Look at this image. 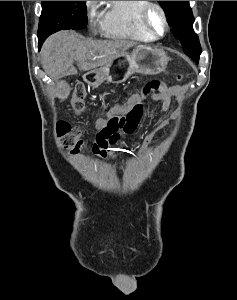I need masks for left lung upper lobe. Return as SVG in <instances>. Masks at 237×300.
Returning a JSON list of instances; mask_svg holds the SVG:
<instances>
[{"instance_id": "1", "label": "left lung upper lobe", "mask_w": 237, "mask_h": 300, "mask_svg": "<svg viewBox=\"0 0 237 300\" xmlns=\"http://www.w3.org/2000/svg\"><path fill=\"white\" fill-rule=\"evenodd\" d=\"M164 9L174 36L180 40L184 52L196 63L199 62L201 46L192 26L194 17L189 1H158Z\"/></svg>"}]
</instances>
